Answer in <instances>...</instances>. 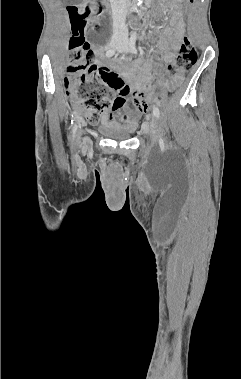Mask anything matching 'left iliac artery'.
I'll return each instance as SVG.
<instances>
[{"label": "left iliac artery", "mask_w": 241, "mask_h": 379, "mask_svg": "<svg viewBox=\"0 0 241 379\" xmlns=\"http://www.w3.org/2000/svg\"><path fill=\"white\" fill-rule=\"evenodd\" d=\"M136 39H137V33H136V31H133V33L131 34V37H130V41H129V50H130L132 53H136V52H137V50H136V46H135V44H136ZM153 114H154V116H155L156 118H159V116H160V111H159L158 107H154V108H153ZM160 144H161L162 146H164V141H163L162 138L160 139Z\"/></svg>", "instance_id": "left-iliac-artery-1"}]
</instances>
